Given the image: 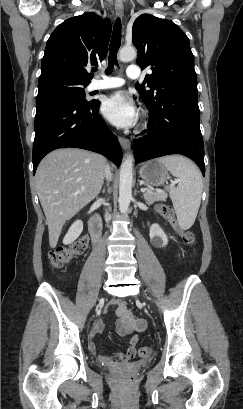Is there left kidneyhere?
<instances>
[{
	"label": "left kidney",
	"instance_id": "5707ae66",
	"mask_svg": "<svg viewBox=\"0 0 243 409\" xmlns=\"http://www.w3.org/2000/svg\"><path fill=\"white\" fill-rule=\"evenodd\" d=\"M150 240L155 247H165L168 244V238L163 229L158 224L150 227Z\"/></svg>",
	"mask_w": 243,
	"mask_h": 409
}]
</instances>
